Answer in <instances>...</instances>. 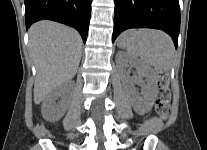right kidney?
<instances>
[{
  "mask_svg": "<svg viewBox=\"0 0 207 150\" xmlns=\"http://www.w3.org/2000/svg\"><path fill=\"white\" fill-rule=\"evenodd\" d=\"M66 91L67 88L65 86H59L46 97L41 107V113L44 119L47 121H57L65 114L68 108V101L63 99L57 104L56 100L59 97H63Z\"/></svg>",
  "mask_w": 207,
  "mask_h": 150,
  "instance_id": "obj_1",
  "label": "right kidney"
}]
</instances>
